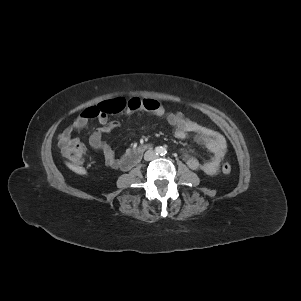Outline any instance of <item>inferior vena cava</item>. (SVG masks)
Segmentation results:
<instances>
[{
	"instance_id": "1",
	"label": "inferior vena cava",
	"mask_w": 301,
	"mask_h": 301,
	"mask_svg": "<svg viewBox=\"0 0 301 301\" xmlns=\"http://www.w3.org/2000/svg\"><path fill=\"white\" fill-rule=\"evenodd\" d=\"M157 157V154L153 150H148L144 154V159L146 161L154 160Z\"/></svg>"
}]
</instances>
